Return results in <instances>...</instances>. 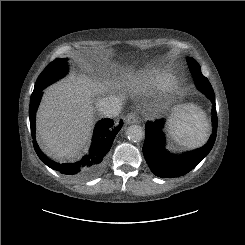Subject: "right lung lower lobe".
I'll return each instance as SVG.
<instances>
[{"label":"right lung lower lobe","mask_w":245,"mask_h":245,"mask_svg":"<svg viewBox=\"0 0 245 245\" xmlns=\"http://www.w3.org/2000/svg\"><path fill=\"white\" fill-rule=\"evenodd\" d=\"M43 90V89H42ZM42 90L32 93L29 106V118L34 149L39 158L50 168L59 171L75 180H87L99 175L106 163V154L109 152L116 134L121 129V123L114 126L111 119L100 120L93 133L89 153L75 163H57L48 159L39 149L35 140V115L42 97Z\"/></svg>","instance_id":"98d812e1"}]
</instances>
